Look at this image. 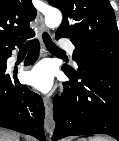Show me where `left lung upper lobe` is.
<instances>
[{"label": "left lung upper lobe", "instance_id": "5c2ea615", "mask_svg": "<svg viewBox=\"0 0 119 141\" xmlns=\"http://www.w3.org/2000/svg\"><path fill=\"white\" fill-rule=\"evenodd\" d=\"M63 13L55 37H69L75 45L73 58L81 63L119 64L118 28L108 0H48ZM67 69H71L64 66Z\"/></svg>", "mask_w": 119, "mask_h": 141}]
</instances>
